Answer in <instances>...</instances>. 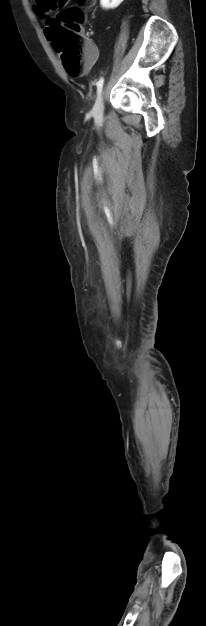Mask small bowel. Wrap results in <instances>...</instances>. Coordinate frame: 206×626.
<instances>
[{
	"mask_svg": "<svg viewBox=\"0 0 206 626\" xmlns=\"http://www.w3.org/2000/svg\"><path fill=\"white\" fill-rule=\"evenodd\" d=\"M38 6L42 11H44V9L42 8V0H38ZM51 29H52L51 19L46 18V27L44 29V33L48 41L52 43V40L50 38ZM88 48L90 50V54L87 58L86 65H85L86 71H88L91 68V66L94 64V62L97 59L96 47L91 42H88Z\"/></svg>",
	"mask_w": 206,
	"mask_h": 626,
	"instance_id": "c3829d8e",
	"label": "small bowel"
}]
</instances>
